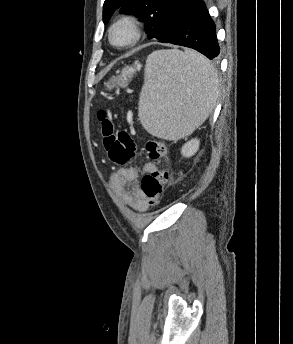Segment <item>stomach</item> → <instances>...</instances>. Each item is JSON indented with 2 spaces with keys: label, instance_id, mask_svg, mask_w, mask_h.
<instances>
[{
  "label": "stomach",
  "instance_id": "1",
  "mask_svg": "<svg viewBox=\"0 0 293 344\" xmlns=\"http://www.w3.org/2000/svg\"><path fill=\"white\" fill-rule=\"evenodd\" d=\"M136 70V65L132 67H126L123 69L121 75L118 77H112L108 82H105L104 85L108 90H111L117 86L126 87L129 83V78L132 77Z\"/></svg>",
  "mask_w": 293,
  "mask_h": 344
}]
</instances>
